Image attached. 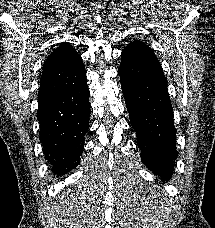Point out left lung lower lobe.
<instances>
[{"label": "left lung lower lobe", "instance_id": "0a47b994", "mask_svg": "<svg viewBox=\"0 0 215 228\" xmlns=\"http://www.w3.org/2000/svg\"><path fill=\"white\" fill-rule=\"evenodd\" d=\"M118 74L141 160L167 181L177 157L176 128L162 67L154 53L123 50Z\"/></svg>", "mask_w": 215, "mask_h": 228}]
</instances>
